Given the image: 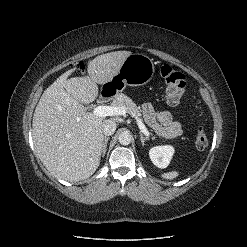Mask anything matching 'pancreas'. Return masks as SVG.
Returning <instances> with one entry per match:
<instances>
[{"label":"pancreas","mask_w":247,"mask_h":247,"mask_svg":"<svg viewBox=\"0 0 247 247\" xmlns=\"http://www.w3.org/2000/svg\"><path fill=\"white\" fill-rule=\"evenodd\" d=\"M114 105L116 106H124L126 108V111L133 116L135 114L139 118L141 117V112L136 106V104L126 95L124 94H118L115 97ZM134 117V116H133Z\"/></svg>","instance_id":"1"}]
</instances>
